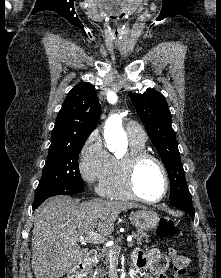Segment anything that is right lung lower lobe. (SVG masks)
Instances as JSON below:
<instances>
[{
	"label": "right lung lower lobe",
	"mask_w": 221,
	"mask_h": 278,
	"mask_svg": "<svg viewBox=\"0 0 221 278\" xmlns=\"http://www.w3.org/2000/svg\"><path fill=\"white\" fill-rule=\"evenodd\" d=\"M84 189H77V188H60L51 192L47 197L40 201H35L33 203V210H35L45 199L55 196V195H71L82 192Z\"/></svg>",
	"instance_id": "98d812e1"
}]
</instances>
